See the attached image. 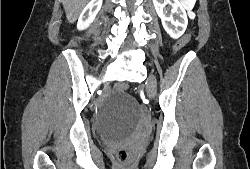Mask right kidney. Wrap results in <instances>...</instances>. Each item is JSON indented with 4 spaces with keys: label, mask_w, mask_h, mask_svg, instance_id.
<instances>
[{
    "label": "right kidney",
    "mask_w": 250,
    "mask_h": 169,
    "mask_svg": "<svg viewBox=\"0 0 250 169\" xmlns=\"http://www.w3.org/2000/svg\"><path fill=\"white\" fill-rule=\"evenodd\" d=\"M102 6V0H90L83 8L77 22L78 30H84L91 22H93L96 14H98Z\"/></svg>",
    "instance_id": "1"
}]
</instances>
